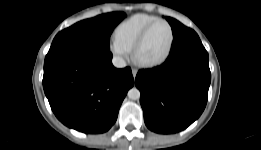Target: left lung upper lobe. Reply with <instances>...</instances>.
<instances>
[{"mask_svg": "<svg viewBox=\"0 0 261 150\" xmlns=\"http://www.w3.org/2000/svg\"><path fill=\"white\" fill-rule=\"evenodd\" d=\"M166 19L172 27V32L174 36L186 28L183 24L173 18L166 17Z\"/></svg>", "mask_w": 261, "mask_h": 150, "instance_id": "1", "label": "left lung upper lobe"}]
</instances>
